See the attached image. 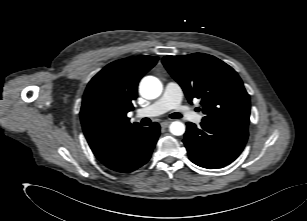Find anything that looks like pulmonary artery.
I'll list each match as a JSON object with an SVG mask.
<instances>
[{"label": "pulmonary artery", "instance_id": "e3ab8cb5", "mask_svg": "<svg viewBox=\"0 0 307 221\" xmlns=\"http://www.w3.org/2000/svg\"><path fill=\"white\" fill-rule=\"evenodd\" d=\"M182 99L183 91L180 85L173 81L168 82L165 86L163 95L150 106L137 110L136 116H158L168 112L169 110L175 109L183 112L191 121L200 123L203 116L183 106Z\"/></svg>", "mask_w": 307, "mask_h": 221}]
</instances>
